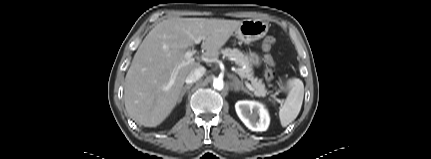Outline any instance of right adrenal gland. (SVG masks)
I'll use <instances>...</instances> for the list:
<instances>
[{
  "instance_id": "obj_1",
  "label": "right adrenal gland",
  "mask_w": 431,
  "mask_h": 159,
  "mask_svg": "<svg viewBox=\"0 0 431 159\" xmlns=\"http://www.w3.org/2000/svg\"><path fill=\"white\" fill-rule=\"evenodd\" d=\"M191 87H192V84H190V85H186V86H184V87L182 88V91H181L180 97H179V99H178V103H180V102L182 101L183 96L185 95V93L187 92V90H189Z\"/></svg>"
}]
</instances>
